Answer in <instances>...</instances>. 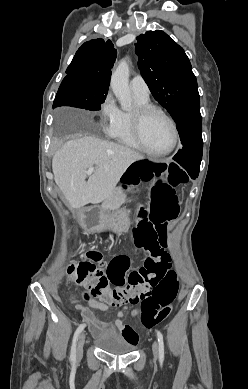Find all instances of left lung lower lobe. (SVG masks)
Returning a JSON list of instances; mask_svg holds the SVG:
<instances>
[{
  "mask_svg": "<svg viewBox=\"0 0 248 389\" xmlns=\"http://www.w3.org/2000/svg\"><path fill=\"white\" fill-rule=\"evenodd\" d=\"M177 130L181 138L189 139L173 157L189 174L192 179L198 177L202 159V117L200 105L185 110L176 121Z\"/></svg>",
  "mask_w": 248,
  "mask_h": 389,
  "instance_id": "left-lung-lower-lobe-1",
  "label": "left lung lower lobe"
}]
</instances>
